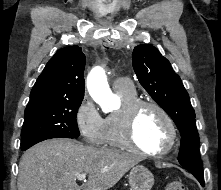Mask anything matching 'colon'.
<instances>
[{
  "instance_id": "obj_1",
  "label": "colon",
  "mask_w": 221,
  "mask_h": 190,
  "mask_svg": "<svg viewBox=\"0 0 221 190\" xmlns=\"http://www.w3.org/2000/svg\"><path fill=\"white\" fill-rule=\"evenodd\" d=\"M165 190H185V186L180 181H174L167 184Z\"/></svg>"
}]
</instances>
